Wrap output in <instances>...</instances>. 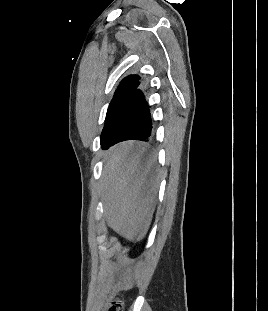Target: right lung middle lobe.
Segmentation results:
<instances>
[{"mask_svg":"<svg viewBox=\"0 0 268 311\" xmlns=\"http://www.w3.org/2000/svg\"><path fill=\"white\" fill-rule=\"evenodd\" d=\"M134 91L135 88L132 87H126L115 91L113 99L107 110L105 125L101 133V139L117 121Z\"/></svg>","mask_w":268,"mask_h":311,"instance_id":"dd1d6c3e","label":"right lung middle lobe"}]
</instances>
